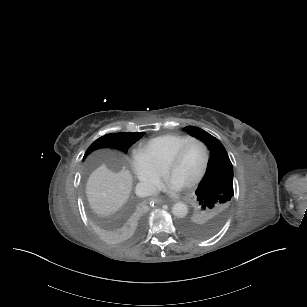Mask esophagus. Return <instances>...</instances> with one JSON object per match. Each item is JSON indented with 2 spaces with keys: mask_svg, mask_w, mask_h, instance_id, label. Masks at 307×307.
<instances>
[{
  "mask_svg": "<svg viewBox=\"0 0 307 307\" xmlns=\"http://www.w3.org/2000/svg\"><path fill=\"white\" fill-rule=\"evenodd\" d=\"M155 203H156L157 205H162V204L164 203V201H163L162 199H160V198H156V199H155Z\"/></svg>",
  "mask_w": 307,
  "mask_h": 307,
  "instance_id": "obj_1",
  "label": "esophagus"
}]
</instances>
